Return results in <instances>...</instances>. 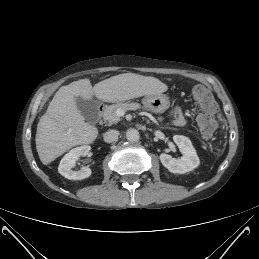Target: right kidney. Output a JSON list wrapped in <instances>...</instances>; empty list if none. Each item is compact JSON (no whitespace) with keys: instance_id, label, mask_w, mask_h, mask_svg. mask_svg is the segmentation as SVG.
<instances>
[{"instance_id":"ca27d5eb","label":"right kidney","mask_w":259,"mask_h":259,"mask_svg":"<svg viewBox=\"0 0 259 259\" xmlns=\"http://www.w3.org/2000/svg\"><path fill=\"white\" fill-rule=\"evenodd\" d=\"M90 150V146L83 145L69 151L60 161L58 167L59 173L65 178L72 180H82L88 178L92 173L89 167H82L79 171H74L72 168L75 166L78 158L81 156H87Z\"/></svg>"}]
</instances>
